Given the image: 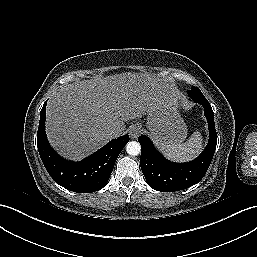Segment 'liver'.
I'll return each instance as SVG.
<instances>
[{
	"label": "liver",
	"instance_id": "1",
	"mask_svg": "<svg viewBox=\"0 0 257 257\" xmlns=\"http://www.w3.org/2000/svg\"><path fill=\"white\" fill-rule=\"evenodd\" d=\"M160 102L177 104L167 86L148 74L76 81L62 86L49 100L47 137L60 155L78 161L104 146L109 130L120 136L125 122L141 118Z\"/></svg>",
	"mask_w": 257,
	"mask_h": 257
}]
</instances>
